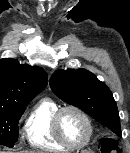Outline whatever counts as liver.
<instances>
[{
    "mask_svg": "<svg viewBox=\"0 0 130 153\" xmlns=\"http://www.w3.org/2000/svg\"><path fill=\"white\" fill-rule=\"evenodd\" d=\"M0 153H4V152H1V151H0ZM28 153H34V152H28Z\"/></svg>",
    "mask_w": 130,
    "mask_h": 153,
    "instance_id": "6515ba94",
    "label": "liver"
}]
</instances>
